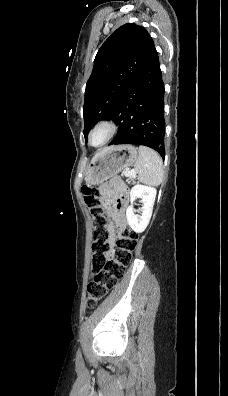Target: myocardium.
I'll return each mask as SVG.
<instances>
[{"instance_id":"1","label":"myocardium","mask_w":228,"mask_h":396,"mask_svg":"<svg viewBox=\"0 0 228 396\" xmlns=\"http://www.w3.org/2000/svg\"><path fill=\"white\" fill-rule=\"evenodd\" d=\"M98 130L105 131V138L100 144L96 145L92 142V138L94 133ZM117 130H118L117 124L112 119H108V118L101 119L97 121L91 128L88 134V143L90 146L94 148H102L106 146L115 137Z\"/></svg>"}]
</instances>
